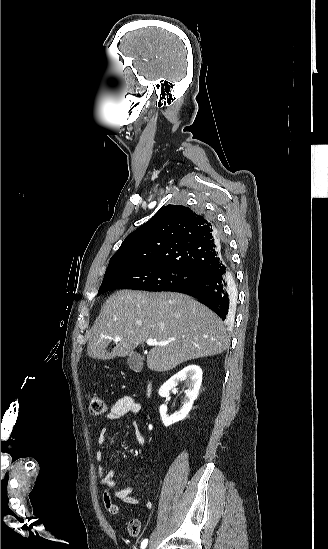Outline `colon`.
Segmentation results:
<instances>
[{"mask_svg":"<svg viewBox=\"0 0 328 549\" xmlns=\"http://www.w3.org/2000/svg\"><path fill=\"white\" fill-rule=\"evenodd\" d=\"M89 409L90 412L99 415L106 411L107 404L102 396L99 394H93L89 399ZM103 505L106 511L112 515L119 514V508L112 500V497L108 492L103 494ZM142 524L139 519H131L127 524V531L131 536H138L141 532Z\"/></svg>","mask_w":328,"mask_h":549,"instance_id":"5ec220e1","label":"colon"}]
</instances>
